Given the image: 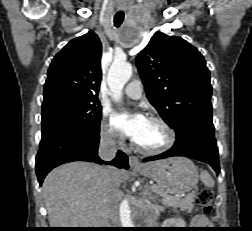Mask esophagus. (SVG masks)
I'll return each instance as SVG.
<instances>
[{"label":"esophagus","mask_w":252,"mask_h":231,"mask_svg":"<svg viewBox=\"0 0 252 231\" xmlns=\"http://www.w3.org/2000/svg\"><path fill=\"white\" fill-rule=\"evenodd\" d=\"M129 164L131 167H141L142 164L140 163L139 159L136 156H129Z\"/></svg>","instance_id":"1"}]
</instances>
